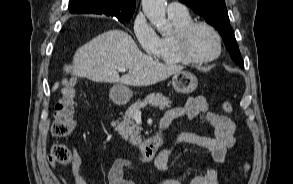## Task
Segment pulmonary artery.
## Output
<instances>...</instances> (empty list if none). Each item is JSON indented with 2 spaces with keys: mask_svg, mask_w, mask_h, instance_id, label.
Returning a JSON list of instances; mask_svg holds the SVG:
<instances>
[{
  "mask_svg": "<svg viewBox=\"0 0 293 184\" xmlns=\"http://www.w3.org/2000/svg\"><path fill=\"white\" fill-rule=\"evenodd\" d=\"M169 16H182L188 13L187 8L179 2H171L167 7Z\"/></svg>",
  "mask_w": 293,
  "mask_h": 184,
  "instance_id": "obj_1",
  "label": "pulmonary artery"
}]
</instances>
